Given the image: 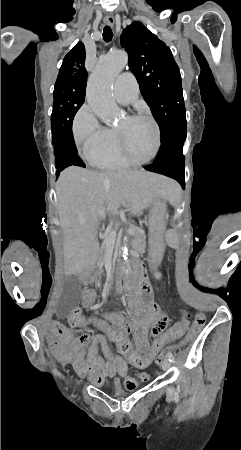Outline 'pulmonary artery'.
<instances>
[{
    "label": "pulmonary artery",
    "mask_w": 241,
    "mask_h": 450,
    "mask_svg": "<svg viewBox=\"0 0 241 450\" xmlns=\"http://www.w3.org/2000/svg\"><path fill=\"white\" fill-rule=\"evenodd\" d=\"M130 73H122L115 81L114 96L116 101L122 105H128L133 101L136 94V85L132 82Z\"/></svg>",
    "instance_id": "e3ab8cb5"
}]
</instances>
